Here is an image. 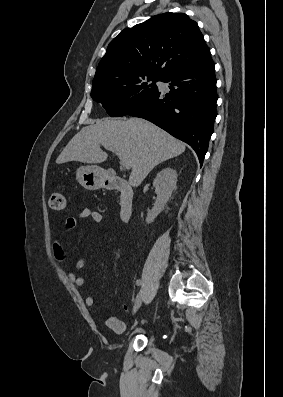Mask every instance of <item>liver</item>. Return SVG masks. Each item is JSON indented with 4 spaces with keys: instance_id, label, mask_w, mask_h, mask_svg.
<instances>
[{
    "instance_id": "liver-1",
    "label": "liver",
    "mask_w": 283,
    "mask_h": 397,
    "mask_svg": "<svg viewBox=\"0 0 283 397\" xmlns=\"http://www.w3.org/2000/svg\"><path fill=\"white\" fill-rule=\"evenodd\" d=\"M103 143L113 147L130 163L129 184L133 187L139 186L156 165L179 156L186 149L183 142L146 120L105 119L82 128L60 153L56 163H102L108 158L100 148Z\"/></svg>"
}]
</instances>
